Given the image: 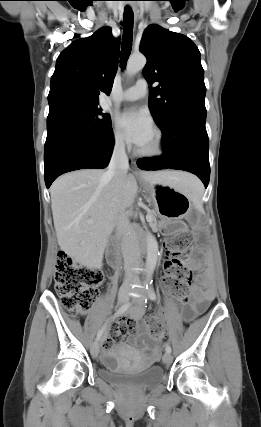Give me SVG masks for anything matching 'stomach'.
<instances>
[{
  "mask_svg": "<svg viewBox=\"0 0 261 427\" xmlns=\"http://www.w3.org/2000/svg\"><path fill=\"white\" fill-rule=\"evenodd\" d=\"M150 194L155 210L161 219H181L191 210V199L187 193L164 184H143Z\"/></svg>",
  "mask_w": 261,
  "mask_h": 427,
  "instance_id": "1",
  "label": "stomach"
}]
</instances>
